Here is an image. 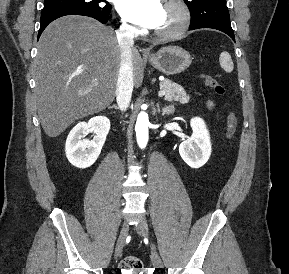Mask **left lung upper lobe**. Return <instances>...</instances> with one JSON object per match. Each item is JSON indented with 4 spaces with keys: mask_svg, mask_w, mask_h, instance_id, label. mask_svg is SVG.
Listing matches in <instances>:
<instances>
[{
    "mask_svg": "<svg viewBox=\"0 0 289 274\" xmlns=\"http://www.w3.org/2000/svg\"><path fill=\"white\" fill-rule=\"evenodd\" d=\"M191 13V25L230 24L226 0H184Z\"/></svg>",
    "mask_w": 289,
    "mask_h": 274,
    "instance_id": "left-lung-upper-lobe-1",
    "label": "left lung upper lobe"
}]
</instances>
